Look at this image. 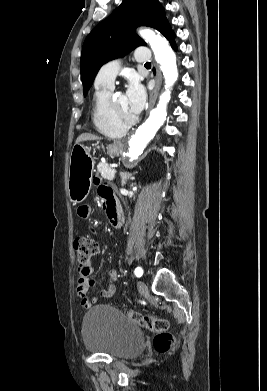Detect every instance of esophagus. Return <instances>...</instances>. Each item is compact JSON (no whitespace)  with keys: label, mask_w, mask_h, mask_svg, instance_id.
Listing matches in <instances>:
<instances>
[{"label":"esophagus","mask_w":267,"mask_h":391,"mask_svg":"<svg viewBox=\"0 0 267 391\" xmlns=\"http://www.w3.org/2000/svg\"><path fill=\"white\" fill-rule=\"evenodd\" d=\"M161 84H162V75H161V72L159 70H157V73H156V85H155L154 90L150 94V109L153 108V106H154V104L156 102V99H157L158 92L160 90Z\"/></svg>","instance_id":"obj_1"}]
</instances>
